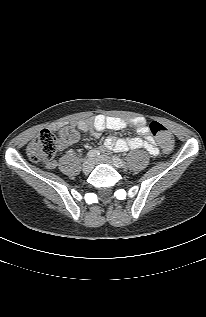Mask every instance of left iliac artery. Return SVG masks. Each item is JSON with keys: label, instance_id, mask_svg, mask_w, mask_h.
<instances>
[{"label": "left iliac artery", "instance_id": "left-iliac-artery-1", "mask_svg": "<svg viewBox=\"0 0 206 317\" xmlns=\"http://www.w3.org/2000/svg\"><path fill=\"white\" fill-rule=\"evenodd\" d=\"M112 159L118 167H125V162L118 156L114 155L112 156Z\"/></svg>", "mask_w": 206, "mask_h": 317}]
</instances>
